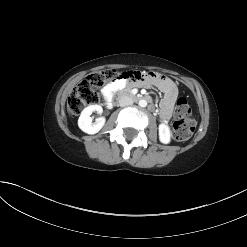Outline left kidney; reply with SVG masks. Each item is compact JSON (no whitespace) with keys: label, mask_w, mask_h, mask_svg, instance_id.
<instances>
[{"label":"left kidney","mask_w":247,"mask_h":247,"mask_svg":"<svg viewBox=\"0 0 247 247\" xmlns=\"http://www.w3.org/2000/svg\"><path fill=\"white\" fill-rule=\"evenodd\" d=\"M159 139L162 143L168 144L171 141V131L168 125L162 123L159 125Z\"/></svg>","instance_id":"5707ae66"}]
</instances>
